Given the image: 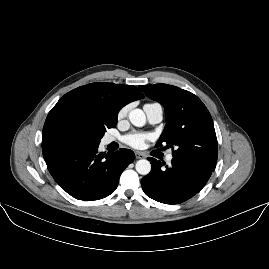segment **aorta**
Instances as JSON below:
<instances>
[{"label":"aorta","instance_id":"1","mask_svg":"<svg viewBox=\"0 0 269 269\" xmlns=\"http://www.w3.org/2000/svg\"><path fill=\"white\" fill-rule=\"evenodd\" d=\"M130 122L136 127L144 126L146 116L142 109L135 108L128 113ZM136 171L141 175H147L151 171V164L147 159H140L135 164Z\"/></svg>","mask_w":269,"mask_h":269}]
</instances>
